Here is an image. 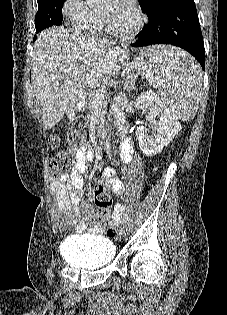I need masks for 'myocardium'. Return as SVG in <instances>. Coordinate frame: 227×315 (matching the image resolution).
<instances>
[{
    "mask_svg": "<svg viewBox=\"0 0 227 315\" xmlns=\"http://www.w3.org/2000/svg\"><path fill=\"white\" fill-rule=\"evenodd\" d=\"M130 6L132 7L136 18H137V22L136 25L134 26V28L130 31V32H119L117 31L110 23L107 15L103 12L102 13V20H103V24L106 28V30L111 33L112 35L127 40V39H131L133 37H135L136 35L139 34V32L142 30L144 23H145V16L143 14V12L141 11V9L137 6V4L131 0L130 1Z\"/></svg>",
    "mask_w": 227,
    "mask_h": 315,
    "instance_id": "obj_1",
    "label": "myocardium"
}]
</instances>
